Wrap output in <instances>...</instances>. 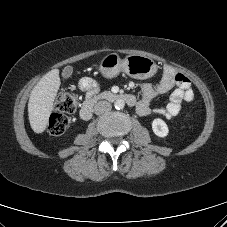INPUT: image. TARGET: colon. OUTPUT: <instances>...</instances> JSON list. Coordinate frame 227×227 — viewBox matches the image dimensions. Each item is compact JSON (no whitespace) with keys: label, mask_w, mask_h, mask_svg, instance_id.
Listing matches in <instances>:
<instances>
[{"label":"colon","mask_w":227,"mask_h":227,"mask_svg":"<svg viewBox=\"0 0 227 227\" xmlns=\"http://www.w3.org/2000/svg\"><path fill=\"white\" fill-rule=\"evenodd\" d=\"M78 97L71 92L60 93L55 101V112L50 116L48 130L51 135H61L67 129L68 114L74 113L78 108Z\"/></svg>","instance_id":"colon-1"}]
</instances>
